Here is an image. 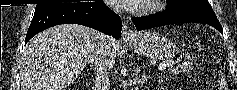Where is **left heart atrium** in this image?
I'll use <instances>...</instances> for the list:
<instances>
[{"mask_svg": "<svg viewBox=\"0 0 237 90\" xmlns=\"http://www.w3.org/2000/svg\"><path fill=\"white\" fill-rule=\"evenodd\" d=\"M143 3H152V0H112V7H122V10H138Z\"/></svg>", "mask_w": 237, "mask_h": 90, "instance_id": "left-heart-atrium-1", "label": "left heart atrium"}]
</instances>
